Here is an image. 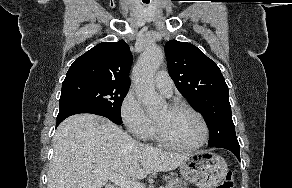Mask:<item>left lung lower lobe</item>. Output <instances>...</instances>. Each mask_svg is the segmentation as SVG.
Listing matches in <instances>:
<instances>
[{
	"label": "left lung lower lobe",
	"mask_w": 292,
	"mask_h": 188,
	"mask_svg": "<svg viewBox=\"0 0 292 188\" xmlns=\"http://www.w3.org/2000/svg\"><path fill=\"white\" fill-rule=\"evenodd\" d=\"M211 147L228 149L235 154L238 160H240V146L237 141V137H233V138L221 141Z\"/></svg>",
	"instance_id": "1"
}]
</instances>
